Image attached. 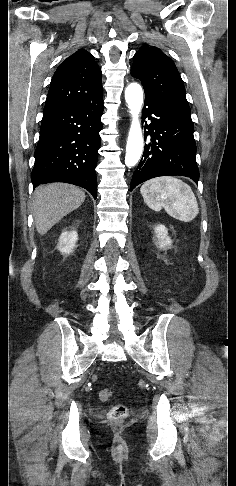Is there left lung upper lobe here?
I'll return each mask as SVG.
<instances>
[{
  "mask_svg": "<svg viewBox=\"0 0 236 486\" xmlns=\"http://www.w3.org/2000/svg\"><path fill=\"white\" fill-rule=\"evenodd\" d=\"M133 58L131 76L141 81L145 94L178 114L191 117L185 87L173 60L148 44H144Z\"/></svg>",
  "mask_w": 236,
  "mask_h": 486,
  "instance_id": "1",
  "label": "left lung upper lobe"
}]
</instances>
